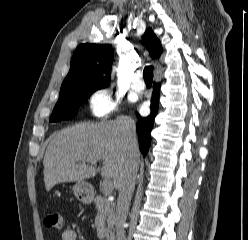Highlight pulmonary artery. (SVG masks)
<instances>
[{
  "instance_id": "1",
  "label": "pulmonary artery",
  "mask_w": 248,
  "mask_h": 240,
  "mask_svg": "<svg viewBox=\"0 0 248 240\" xmlns=\"http://www.w3.org/2000/svg\"><path fill=\"white\" fill-rule=\"evenodd\" d=\"M132 88L137 92H141L145 88V83L142 79V73L140 71H137L135 73V76L132 82Z\"/></svg>"
}]
</instances>
